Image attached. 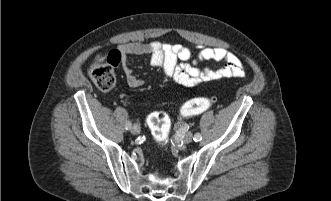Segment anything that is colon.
Masks as SVG:
<instances>
[{
  "instance_id": "5ec220e1",
  "label": "colon",
  "mask_w": 331,
  "mask_h": 201,
  "mask_svg": "<svg viewBox=\"0 0 331 201\" xmlns=\"http://www.w3.org/2000/svg\"><path fill=\"white\" fill-rule=\"evenodd\" d=\"M113 61L99 59L89 70L92 82L101 91H110L115 85ZM214 103L213 98L197 97L186 102L181 110L182 117H188L209 110ZM148 126L156 141L163 143L170 132L171 122L168 115L163 111H155L147 118Z\"/></svg>"
}]
</instances>
